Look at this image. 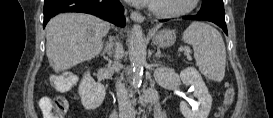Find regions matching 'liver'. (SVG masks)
I'll list each match as a JSON object with an SVG mask.
<instances>
[{
  "instance_id": "1",
  "label": "liver",
  "mask_w": 273,
  "mask_h": 118,
  "mask_svg": "<svg viewBox=\"0 0 273 118\" xmlns=\"http://www.w3.org/2000/svg\"><path fill=\"white\" fill-rule=\"evenodd\" d=\"M110 24L93 15L64 13L46 26V55L56 73L97 56Z\"/></svg>"
}]
</instances>
